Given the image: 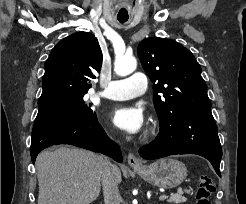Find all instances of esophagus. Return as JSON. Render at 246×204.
<instances>
[{"label":"esophagus","instance_id":"34e87169","mask_svg":"<svg viewBox=\"0 0 246 204\" xmlns=\"http://www.w3.org/2000/svg\"><path fill=\"white\" fill-rule=\"evenodd\" d=\"M127 162L129 166L133 168H138L142 166V162L132 153L128 154Z\"/></svg>","mask_w":246,"mask_h":204}]
</instances>
